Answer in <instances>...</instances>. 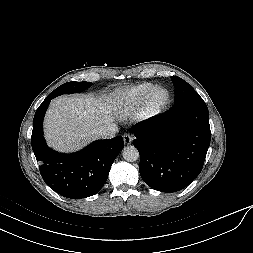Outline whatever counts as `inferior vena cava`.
<instances>
[{
    "instance_id": "inferior-vena-cava-1",
    "label": "inferior vena cava",
    "mask_w": 253,
    "mask_h": 253,
    "mask_svg": "<svg viewBox=\"0 0 253 253\" xmlns=\"http://www.w3.org/2000/svg\"><path fill=\"white\" fill-rule=\"evenodd\" d=\"M94 134L103 139L113 138L118 132V127L115 123H109L106 126L95 129Z\"/></svg>"
}]
</instances>
